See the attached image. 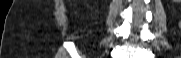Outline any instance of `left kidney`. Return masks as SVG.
Returning <instances> with one entry per match:
<instances>
[{
  "instance_id": "obj_1",
  "label": "left kidney",
  "mask_w": 181,
  "mask_h": 58,
  "mask_svg": "<svg viewBox=\"0 0 181 58\" xmlns=\"http://www.w3.org/2000/svg\"><path fill=\"white\" fill-rule=\"evenodd\" d=\"M173 2H181V0H173Z\"/></svg>"
}]
</instances>
